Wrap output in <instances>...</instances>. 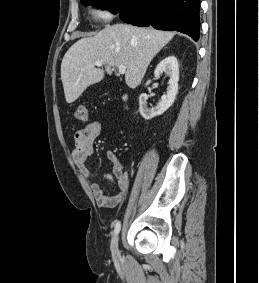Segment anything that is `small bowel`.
<instances>
[{
    "label": "small bowel",
    "mask_w": 259,
    "mask_h": 283,
    "mask_svg": "<svg viewBox=\"0 0 259 283\" xmlns=\"http://www.w3.org/2000/svg\"><path fill=\"white\" fill-rule=\"evenodd\" d=\"M101 131L102 123L100 121H92L74 135L75 146L72 151V157L80 172L88 179H93L95 173L86 166V160L93 154L94 142L101 134ZM105 156L112 163V173L108 178L117 180L120 190L116 195L109 196L98 183L91 184V190L99 206L114 207L126 199L130 188L131 175L129 172L124 171L123 164L115 151L106 150Z\"/></svg>",
    "instance_id": "obj_1"
}]
</instances>
